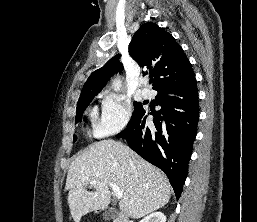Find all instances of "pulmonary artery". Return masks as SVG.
I'll list each match as a JSON object with an SVG mask.
<instances>
[{
  "mask_svg": "<svg viewBox=\"0 0 257 222\" xmlns=\"http://www.w3.org/2000/svg\"><path fill=\"white\" fill-rule=\"evenodd\" d=\"M146 82H147L146 79H144V80L142 81V84H143V85H146ZM141 94H142V97L145 98V99L150 98L151 95H152L151 91H150L148 88H146V87H143V88H142Z\"/></svg>",
  "mask_w": 257,
  "mask_h": 222,
  "instance_id": "pulmonary-artery-1",
  "label": "pulmonary artery"
}]
</instances>
